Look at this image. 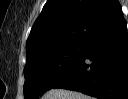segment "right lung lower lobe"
Instances as JSON below:
<instances>
[{"instance_id":"98d812e1","label":"right lung lower lobe","mask_w":128,"mask_h":99,"mask_svg":"<svg viewBox=\"0 0 128 99\" xmlns=\"http://www.w3.org/2000/svg\"><path fill=\"white\" fill-rule=\"evenodd\" d=\"M53 88L79 91L99 99H128V33L122 9L84 42L76 66Z\"/></svg>"}]
</instances>
